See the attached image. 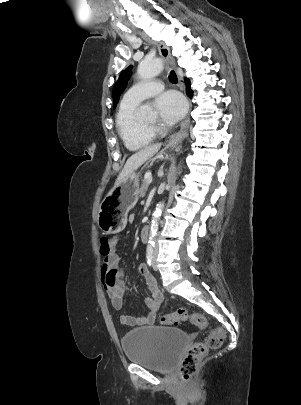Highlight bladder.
Here are the masks:
<instances>
[{
	"mask_svg": "<svg viewBox=\"0 0 301 405\" xmlns=\"http://www.w3.org/2000/svg\"><path fill=\"white\" fill-rule=\"evenodd\" d=\"M187 344V335L174 327H141L129 331L122 338V347L129 362L162 373L173 369Z\"/></svg>",
	"mask_w": 301,
	"mask_h": 405,
	"instance_id": "obj_1",
	"label": "bladder"
}]
</instances>
